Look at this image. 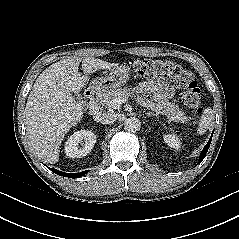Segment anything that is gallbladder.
I'll list each match as a JSON object with an SVG mask.
<instances>
[{
  "instance_id": "bac80fb5",
  "label": "gallbladder",
  "mask_w": 239,
  "mask_h": 239,
  "mask_svg": "<svg viewBox=\"0 0 239 239\" xmlns=\"http://www.w3.org/2000/svg\"><path fill=\"white\" fill-rule=\"evenodd\" d=\"M73 96L77 102L81 103L83 101V97L79 93H74Z\"/></svg>"
}]
</instances>
